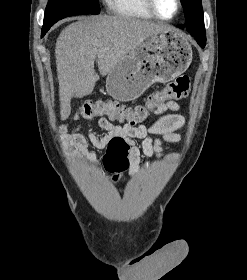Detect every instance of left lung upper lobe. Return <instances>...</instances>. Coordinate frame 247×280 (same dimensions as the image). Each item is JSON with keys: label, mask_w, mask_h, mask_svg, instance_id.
Instances as JSON below:
<instances>
[{"label": "left lung upper lobe", "mask_w": 247, "mask_h": 280, "mask_svg": "<svg viewBox=\"0 0 247 280\" xmlns=\"http://www.w3.org/2000/svg\"><path fill=\"white\" fill-rule=\"evenodd\" d=\"M184 6L186 28L200 36H206L201 0H182Z\"/></svg>", "instance_id": "1"}]
</instances>
